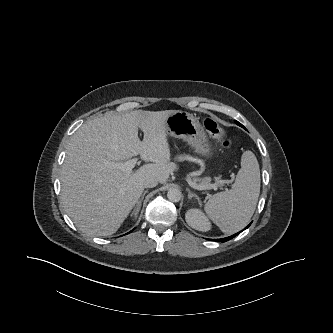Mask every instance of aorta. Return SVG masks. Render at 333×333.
Masks as SVG:
<instances>
[{"label": "aorta", "mask_w": 333, "mask_h": 333, "mask_svg": "<svg viewBox=\"0 0 333 333\" xmlns=\"http://www.w3.org/2000/svg\"><path fill=\"white\" fill-rule=\"evenodd\" d=\"M167 197L171 202H179L181 199V192L176 188H171L167 192Z\"/></svg>", "instance_id": "obj_1"}]
</instances>
